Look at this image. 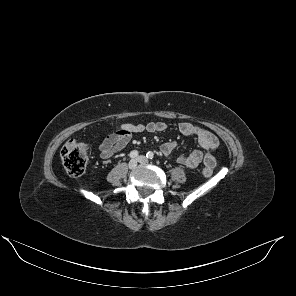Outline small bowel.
I'll return each mask as SVG.
<instances>
[{
  "label": "small bowel",
  "mask_w": 296,
  "mask_h": 296,
  "mask_svg": "<svg viewBox=\"0 0 296 296\" xmlns=\"http://www.w3.org/2000/svg\"><path fill=\"white\" fill-rule=\"evenodd\" d=\"M167 125L164 122H149L147 124H131L125 123L119 128L105 136L99 145L100 157L102 159H110L116 153L123 150L132 140L134 134L149 132L156 133L166 130ZM179 131L186 136H194L198 144L204 150H193L187 155L176 158V162L189 169L196 168L202 161L205 166L216 165L214 153L218 149L219 141L217 137L210 131L200 128L190 122H181L178 125ZM177 148L176 142H165L161 146V152L165 156H170Z\"/></svg>",
  "instance_id": "small-bowel-1"
}]
</instances>
